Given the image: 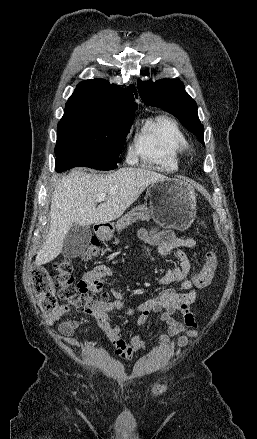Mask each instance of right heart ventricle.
I'll use <instances>...</instances> for the list:
<instances>
[{
	"instance_id": "obj_1",
	"label": "right heart ventricle",
	"mask_w": 257,
	"mask_h": 439,
	"mask_svg": "<svg viewBox=\"0 0 257 439\" xmlns=\"http://www.w3.org/2000/svg\"><path fill=\"white\" fill-rule=\"evenodd\" d=\"M189 148L178 123L165 115L147 121L134 140V153L142 163L155 169L172 172Z\"/></svg>"
}]
</instances>
